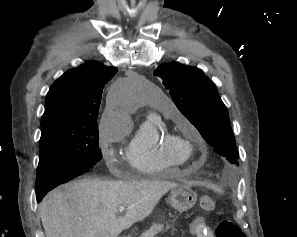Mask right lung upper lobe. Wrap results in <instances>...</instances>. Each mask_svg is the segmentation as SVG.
Returning a JSON list of instances; mask_svg holds the SVG:
<instances>
[{
  "label": "right lung upper lobe",
  "mask_w": 297,
  "mask_h": 237,
  "mask_svg": "<svg viewBox=\"0 0 297 237\" xmlns=\"http://www.w3.org/2000/svg\"><path fill=\"white\" fill-rule=\"evenodd\" d=\"M117 68L89 61L64 73L46 95L41 124L57 119H97L105 84Z\"/></svg>",
  "instance_id": "1"
}]
</instances>
